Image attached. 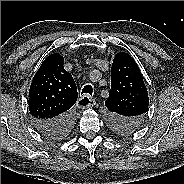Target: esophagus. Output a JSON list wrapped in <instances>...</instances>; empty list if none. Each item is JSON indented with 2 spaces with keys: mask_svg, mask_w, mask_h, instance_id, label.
Segmentation results:
<instances>
[{
  "mask_svg": "<svg viewBox=\"0 0 184 184\" xmlns=\"http://www.w3.org/2000/svg\"><path fill=\"white\" fill-rule=\"evenodd\" d=\"M95 104V99L86 94L81 96L77 101V106L82 109L93 107Z\"/></svg>",
  "mask_w": 184,
  "mask_h": 184,
  "instance_id": "34e87169",
  "label": "esophagus"
}]
</instances>
